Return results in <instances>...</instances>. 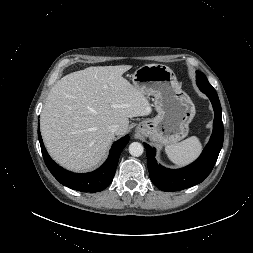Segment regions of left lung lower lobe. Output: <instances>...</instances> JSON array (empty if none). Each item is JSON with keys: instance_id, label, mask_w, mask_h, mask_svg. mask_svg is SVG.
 <instances>
[{"instance_id": "1", "label": "left lung lower lobe", "mask_w": 253, "mask_h": 253, "mask_svg": "<svg viewBox=\"0 0 253 253\" xmlns=\"http://www.w3.org/2000/svg\"><path fill=\"white\" fill-rule=\"evenodd\" d=\"M205 93L215 112L213 133L201 156L181 169H167L157 164L155 149L144 143L150 179L162 191H179L201 183L212 171L223 145L224 130L222 110L215 89H200Z\"/></svg>"}]
</instances>
